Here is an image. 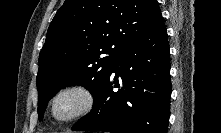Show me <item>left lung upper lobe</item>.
Masks as SVG:
<instances>
[{"label": "left lung upper lobe", "mask_w": 221, "mask_h": 133, "mask_svg": "<svg viewBox=\"0 0 221 133\" xmlns=\"http://www.w3.org/2000/svg\"><path fill=\"white\" fill-rule=\"evenodd\" d=\"M160 17L156 0H65L39 55V119L64 87L82 85L95 97L121 50Z\"/></svg>", "instance_id": "obj_1"}]
</instances>
